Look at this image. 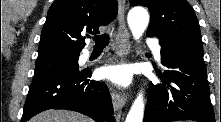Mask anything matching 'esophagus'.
I'll list each match as a JSON object with an SVG mask.
<instances>
[{
	"label": "esophagus",
	"instance_id": "1",
	"mask_svg": "<svg viewBox=\"0 0 221 122\" xmlns=\"http://www.w3.org/2000/svg\"><path fill=\"white\" fill-rule=\"evenodd\" d=\"M125 11H126L125 2L119 1V10H118L119 28L116 37V42H117L116 53L121 61L127 58L131 47L129 39L130 36L125 21ZM110 91L115 108L117 110H121L126 104L127 101L126 95L122 92L116 91L113 87L110 88Z\"/></svg>",
	"mask_w": 221,
	"mask_h": 122
}]
</instances>
